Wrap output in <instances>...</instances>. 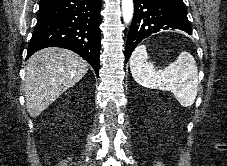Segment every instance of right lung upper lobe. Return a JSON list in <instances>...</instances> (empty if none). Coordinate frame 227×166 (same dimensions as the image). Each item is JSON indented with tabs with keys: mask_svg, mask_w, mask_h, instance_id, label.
I'll use <instances>...</instances> for the list:
<instances>
[{
	"mask_svg": "<svg viewBox=\"0 0 227 166\" xmlns=\"http://www.w3.org/2000/svg\"><path fill=\"white\" fill-rule=\"evenodd\" d=\"M46 1H49V0H40V3H43V2H46Z\"/></svg>",
	"mask_w": 227,
	"mask_h": 166,
	"instance_id": "right-lung-upper-lobe-1",
	"label": "right lung upper lobe"
}]
</instances>
